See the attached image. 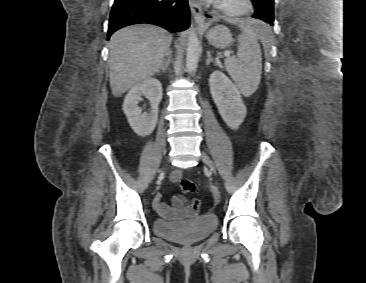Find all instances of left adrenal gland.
<instances>
[{
	"instance_id": "1",
	"label": "left adrenal gland",
	"mask_w": 366,
	"mask_h": 283,
	"mask_svg": "<svg viewBox=\"0 0 366 283\" xmlns=\"http://www.w3.org/2000/svg\"><path fill=\"white\" fill-rule=\"evenodd\" d=\"M207 60H206V66H209L210 63H214V65H217V63L212 59L211 52L207 51Z\"/></svg>"
}]
</instances>
